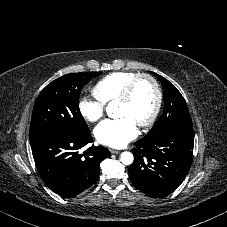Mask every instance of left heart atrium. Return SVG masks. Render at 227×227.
Instances as JSON below:
<instances>
[{"label": "left heart atrium", "instance_id": "obj_1", "mask_svg": "<svg viewBox=\"0 0 227 227\" xmlns=\"http://www.w3.org/2000/svg\"><path fill=\"white\" fill-rule=\"evenodd\" d=\"M97 140L106 146L120 148L137 135L136 124L128 117L105 119L94 130Z\"/></svg>", "mask_w": 227, "mask_h": 227}]
</instances>
